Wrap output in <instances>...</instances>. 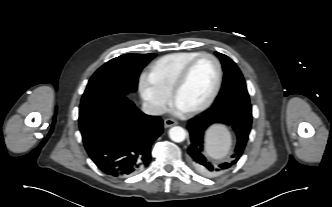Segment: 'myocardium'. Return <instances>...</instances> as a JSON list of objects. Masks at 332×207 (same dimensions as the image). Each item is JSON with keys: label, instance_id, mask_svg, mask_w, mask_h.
Instances as JSON below:
<instances>
[{"label": "myocardium", "instance_id": "1", "mask_svg": "<svg viewBox=\"0 0 332 207\" xmlns=\"http://www.w3.org/2000/svg\"><path fill=\"white\" fill-rule=\"evenodd\" d=\"M202 58H210L214 62L215 67H216V81H215V85H214V88H213L211 94L202 104H200L199 106H196L190 110L185 111L186 114H188V115L198 114V113L206 110L208 107H210L211 104L216 99V97L220 91L221 84H222L223 71H222V65H221L219 59L210 53H200L197 56H195L194 58H192L190 61H188L185 64V66L181 69V71L179 72V74L172 86L171 93H170L172 102L174 104H176L177 95H178L179 91L181 90V88L183 87V85L185 84L192 67L198 60H200Z\"/></svg>", "mask_w": 332, "mask_h": 207}]
</instances>
